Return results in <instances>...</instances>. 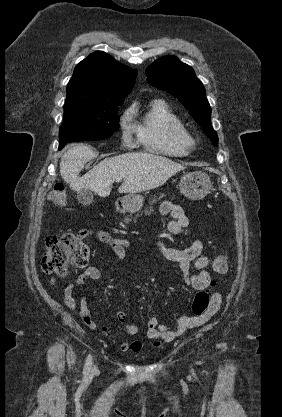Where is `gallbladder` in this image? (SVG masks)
Instances as JSON below:
<instances>
[{"label": "gallbladder", "instance_id": "bac80fb5", "mask_svg": "<svg viewBox=\"0 0 282 417\" xmlns=\"http://www.w3.org/2000/svg\"><path fill=\"white\" fill-rule=\"evenodd\" d=\"M77 198L82 204H89L93 200V194L89 188H80L77 192Z\"/></svg>", "mask_w": 282, "mask_h": 417}]
</instances>
